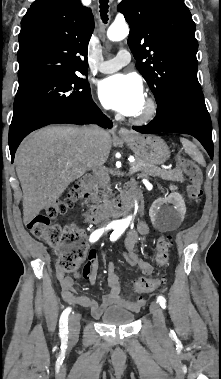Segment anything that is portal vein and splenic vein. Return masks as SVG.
<instances>
[{
	"mask_svg": "<svg viewBox=\"0 0 221 379\" xmlns=\"http://www.w3.org/2000/svg\"><path fill=\"white\" fill-rule=\"evenodd\" d=\"M129 162H130V163H133L134 160L129 159ZM162 168H163V169H167L168 167H167V166H162ZM130 170H131V172H135V171H136V168H135V167H131Z\"/></svg>",
	"mask_w": 221,
	"mask_h": 379,
	"instance_id": "portal-vein-and-splenic-vein-1",
	"label": "portal vein and splenic vein"
}]
</instances>
